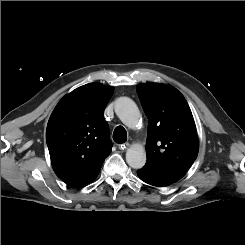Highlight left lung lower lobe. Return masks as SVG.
<instances>
[{
  "label": "left lung lower lobe",
  "instance_id": "left-lung-lower-lobe-1",
  "mask_svg": "<svg viewBox=\"0 0 245 245\" xmlns=\"http://www.w3.org/2000/svg\"><path fill=\"white\" fill-rule=\"evenodd\" d=\"M137 175L145 183L157 187H167L178 182L181 179L179 177L152 170L148 167L138 169Z\"/></svg>",
  "mask_w": 245,
  "mask_h": 245
}]
</instances>
